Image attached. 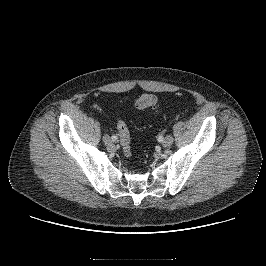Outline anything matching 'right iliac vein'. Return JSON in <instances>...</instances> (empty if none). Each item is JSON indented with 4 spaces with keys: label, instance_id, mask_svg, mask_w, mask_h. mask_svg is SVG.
<instances>
[{
    "label": "right iliac vein",
    "instance_id": "1",
    "mask_svg": "<svg viewBox=\"0 0 266 266\" xmlns=\"http://www.w3.org/2000/svg\"><path fill=\"white\" fill-rule=\"evenodd\" d=\"M103 141H104V143L106 144V145H108V146H112L113 145V139H111L108 135H105L104 137H103Z\"/></svg>",
    "mask_w": 266,
    "mask_h": 266
}]
</instances>
